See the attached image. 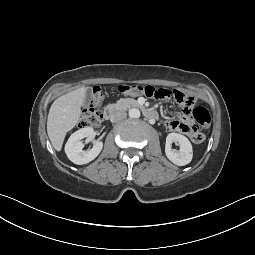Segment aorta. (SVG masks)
<instances>
[{"label":"aorta","mask_w":255,"mask_h":255,"mask_svg":"<svg viewBox=\"0 0 255 255\" xmlns=\"http://www.w3.org/2000/svg\"><path fill=\"white\" fill-rule=\"evenodd\" d=\"M129 117L130 118H139L140 117V111L137 108H132L129 110Z\"/></svg>","instance_id":"obj_1"}]
</instances>
